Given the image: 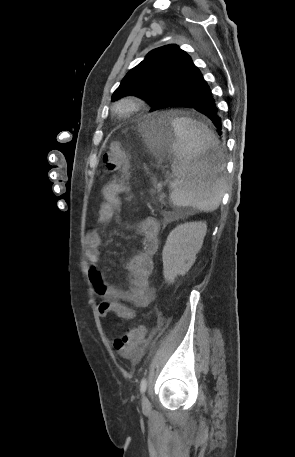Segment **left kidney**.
Instances as JSON below:
<instances>
[{"instance_id": "1", "label": "left kidney", "mask_w": 295, "mask_h": 457, "mask_svg": "<svg viewBox=\"0 0 295 457\" xmlns=\"http://www.w3.org/2000/svg\"><path fill=\"white\" fill-rule=\"evenodd\" d=\"M206 222H187L174 228L167 237L162 251L163 275L174 282L178 275H185L196 260L206 235Z\"/></svg>"}]
</instances>
